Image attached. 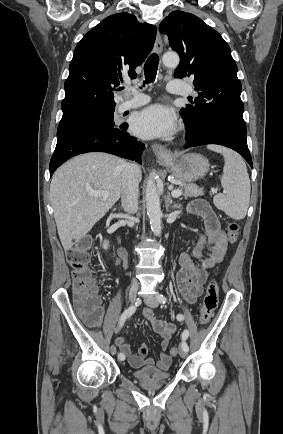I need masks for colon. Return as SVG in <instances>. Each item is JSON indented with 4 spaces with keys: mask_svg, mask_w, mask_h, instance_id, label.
I'll return each instance as SVG.
<instances>
[{
    "mask_svg": "<svg viewBox=\"0 0 283 434\" xmlns=\"http://www.w3.org/2000/svg\"><path fill=\"white\" fill-rule=\"evenodd\" d=\"M229 242H235L239 236V226L231 222L227 228ZM91 241L82 239L66 252V260L72 268L74 298L77 309L90 326H98L102 318V309L99 305V295L96 281L90 268ZM219 289L215 279L209 281L200 309V323L207 324L218 305ZM179 353L177 347L170 349L171 356Z\"/></svg>",
    "mask_w": 283,
    "mask_h": 434,
    "instance_id": "1",
    "label": "colon"
}]
</instances>
